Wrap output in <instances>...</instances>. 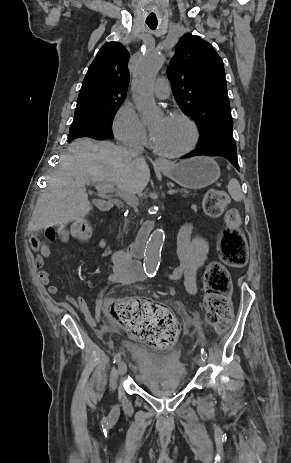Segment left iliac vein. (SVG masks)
Segmentation results:
<instances>
[{
	"label": "left iliac vein",
	"mask_w": 291,
	"mask_h": 463,
	"mask_svg": "<svg viewBox=\"0 0 291 463\" xmlns=\"http://www.w3.org/2000/svg\"><path fill=\"white\" fill-rule=\"evenodd\" d=\"M197 363H198L199 366H203L205 364V361L203 360L202 356L198 357Z\"/></svg>",
	"instance_id": "left-iliac-vein-1"
}]
</instances>
